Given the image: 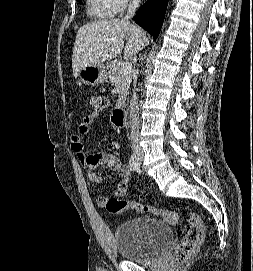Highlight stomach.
I'll use <instances>...</instances> for the list:
<instances>
[{
  "label": "stomach",
  "mask_w": 253,
  "mask_h": 271,
  "mask_svg": "<svg viewBox=\"0 0 253 271\" xmlns=\"http://www.w3.org/2000/svg\"><path fill=\"white\" fill-rule=\"evenodd\" d=\"M84 84L96 85L106 81L107 71L104 64L89 65L80 70L78 74Z\"/></svg>",
  "instance_id": "1"
}]
</instances>
